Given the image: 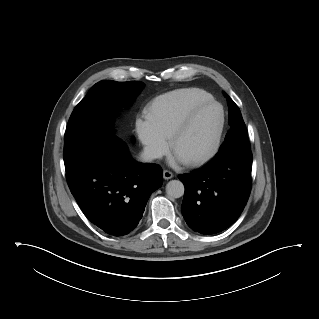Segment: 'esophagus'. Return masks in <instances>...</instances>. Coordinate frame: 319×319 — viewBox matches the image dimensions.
<instances>
[{
	"instance_id": "obj_1",
	"label": "esophagus",
	"mask_w": 319,
	"mask_h": 319,
	"mask_svg": "<svg viewBox=\"0 0 319 319\" xmlns=\"http://www.w3.org/2000/svg\"><path fill=\"white\" fill-rule=\"evenodd\" d=\"M173 173L172 172H170V171H168V170H164L163 171V177H164V179H166V180H169V179H171V178H173Z\"/></svg>"
}]
</instances>
